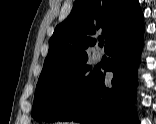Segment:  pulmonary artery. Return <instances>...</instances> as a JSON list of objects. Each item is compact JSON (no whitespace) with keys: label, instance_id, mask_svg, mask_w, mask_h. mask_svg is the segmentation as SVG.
Segmentation results:
<instances>
[{"label":"pulmonary artery","instance_id":"e3ab8cb5","mask_svg":"<svg viewBox=\"0 0 156 124\" xmlns=\"http://www.w3.org/2000/svg\"><path fill=\"white\" fill-rule=\"evenodd\" d=\"M94 59H95V62H96V63H99V62L101 61V55H100L99 53H96V54L94 55Z\"/></svg>","mask_w":156,"mask_h":124}]
</instances>
